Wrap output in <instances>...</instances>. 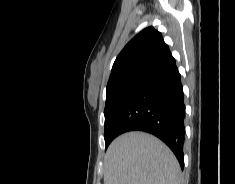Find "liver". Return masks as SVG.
I'll use <instances>...</instances> for the list:
<instances>
[{
  "label": "liver",
  "instance_id": "1",
  "mask_svg": "<svg viewBox=\"0 0 235 184\" xmlns=\"http://www.w3.org/2000/svg\"><path fill=\"white\" fill-rule=\"evenodd\" d=\"M104 164V184H182L174 154L145 132L118 136L110 144Z\"/></svg>",
  "mask_w": 235,
  "mask_h": 184
}]
</instances>
